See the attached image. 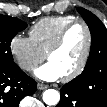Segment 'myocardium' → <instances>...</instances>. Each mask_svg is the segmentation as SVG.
<instances>
[{
	"instance_id": "myocardium-1",
	"label": "myocardium",
	"mask_w": 107,
	"mask_h": 107,
	"mask_svg": "<svg viewBox=\"0 0 107 107\" xmlns=\"http://www.w3.org/2000/svg\"><path fill=\"white\" fill-rule=\"evenodd\" d=\"M76 25H81L85 29L86 45H85V49H84L83 55L81 57V60L78 66L71 73L62 76V80L64 82H69L79 77L83 73V71L85 70L88 64L91 51H92V45H93V35H92L90 26L88 25L87 22H85L82 19H75L72 22L68 23L60 31L56 40L54 41V43L52 44V46L49 48V50L46 53V58L49 60L50 56L62 47L68 32L70 31L71 28H73Z\"/></svg>"
}]
</instances>
